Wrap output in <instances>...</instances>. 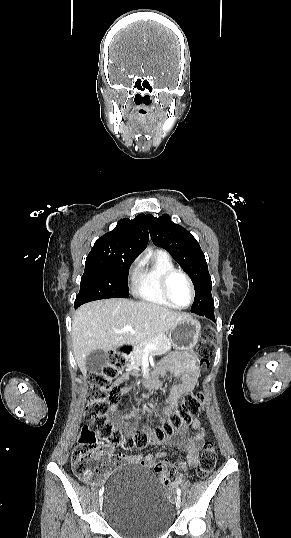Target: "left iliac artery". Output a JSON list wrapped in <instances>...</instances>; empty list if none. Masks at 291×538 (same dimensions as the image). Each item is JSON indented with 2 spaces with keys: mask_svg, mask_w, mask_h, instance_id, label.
Listing matches in <instances>:
<instances>
[{
  "mask_svg": "<svg viewBox=\"0 0 291 538\" xmlns=\"http://www.w3.org/2000/svg\"><path fill=\"white\" fill-rule=\"evenodd\" d=\"M176 492H177V495L180 497V495H181V490H180V488L177 487Z\"/></svg>",
  "mask_w": 291,
  "mask_h": 538,
  "instance_id": "left-iliac-artery-1",
  "label": "left iliac artery"
}]
</instances>
